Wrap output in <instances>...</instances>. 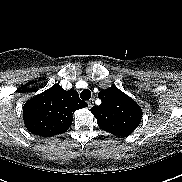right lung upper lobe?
I'll return each mask as SVG.
<instances>
[{
	"mask_svg": "<svg viewBox=\"0 0 182 182\" xmlns=\"http://www.w3.org/2000/svg\"><path fill=\"white\" fill-rule=\"evenodd\" d=\"M87 106L85 101L80 100L77 91H65L55 84L24 104V124L32 134L54 136L66 132L73 121V113Z\"/></svg>",
	"mask_w": 182,
	"mask_h": 182,
	"instance_id": "1",
	"label": "right lung upper lobe"
}]
</instances>
